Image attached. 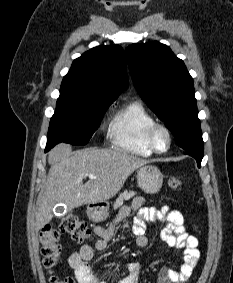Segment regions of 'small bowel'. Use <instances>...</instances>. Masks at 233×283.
Here are the masks:
<instances>
[{"instance_id":"1","label":"small bowel","mask_w":233,"mask_h":283,"mask_svg":"<svg viewBox=\"0 0 233 283\" xmlns=\"http://www.w3.org/2000/svg\"><path fill=\"white\" fill-rule=\"evenodd\" d=\"M143 204L144 199L142 197L134 198L130 206L121 210L117 221L127 217L132 212H138L132 225V233L136 237L135 244L138 248H143L148 244L145 235L147 225L159 221L164 226L161 238L169 246L183 249L184 259L179 270L163 267L159 272L158 283H186L196 268L200 257L197 238L187 233L184 218L180 211L172 210L167 205L155 208L144 207ZM114 228V225L108 229L95 228V233L99 237L94 245L96 250L105 251L108 248L114 235ZM94 248L85 244L69 257V265L73 269L78 283H107L106 280L96 276L90 264L94 256ZM127 270V275L117 283H139L140 265L131 263Z\"/></svg>"}]
</instances>
